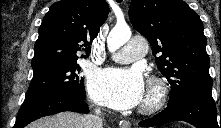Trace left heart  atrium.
Returning <instances> with one entry per match:
<instances>
[{"mask_svg":"<svg viewBox=\"0 0 221 128\" xmlns=\"http://www.w3.org/2000/svg\"><path fill=\"white\" fill-rule=\"evenodd\" d=\"M92 98L115 109H131L143 100L145 84L139 67L96 71L89 79Z\"/></svg>","mask_w":221,"mask_h":128,"instance_id":"left-heart-atrium-1","label":"left heart atrium"}]
</instances>
